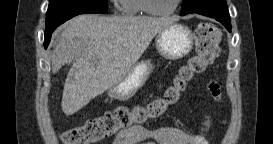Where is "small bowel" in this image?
Segmentation results:
<instances>
[{
	"label": "small bowel",
	"instance_id": "c3829d8e",
	"mask_svg": "<svg viewBox=\"0 0 273 144\" xmlns=\"http://www.w3.org/2000/svg\"><path fill=\"white\" fill-rule=\"evenodd\" d=\"M210 96L220 100L221 90L219 85L211 81L207 85ZM206 129L211 125V119L206 120ZM207 144L205 132L191 133L176 127H163L149 129L144 126H133L119 132L113 144Z\"/></svg>",
	"mask_w": 273,
	"mask_h": 144
}]
</instances>
